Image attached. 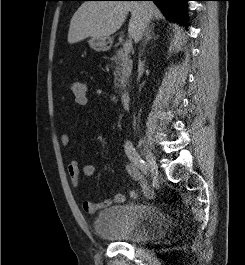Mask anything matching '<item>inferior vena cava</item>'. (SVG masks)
<instances>
[{
	"instance_id": "inferior-vena-cava-1",
	"label": "inferior vena cava",
	"mask_w": 245,
	"mask_h": 265,
	"mask_svg": "<svg viewBox=\"0 0 245 265\" xmlns=\"http://www.w3.org/2000/svg\"><path fill=\"white\" fill-rule=\"evenodd\" d=\"M151 19H152L151 14L146 11L143 17V23H142L141 32H140V39H142V37L146 35L149 29V24H150Z\"/></svg>"
}]
</instances>
